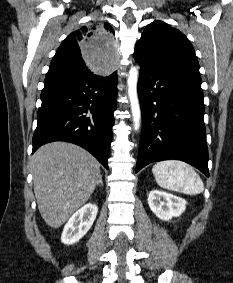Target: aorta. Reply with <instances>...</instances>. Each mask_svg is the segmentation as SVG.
I'll return each mask as SVG.
<instances>
[{"instance_id":"1","label":"aorta","mask_w":233,"mask_h":283,"mask_svg":"<svg viewBox=\"0 0 233 283\" xmlns=\"http://www.w3.org/2000/svg\"><path fill=\"white\" fill-rule=\"evenodd\" d=\"M138 75H139L138 69L136 67H132L129 71V76L127 79L128 96L130 99L131 112L133 116V125L135 130H138L140 128V123H141V110H140V104L137 94Z\"/></svg>"}]
</instances>
